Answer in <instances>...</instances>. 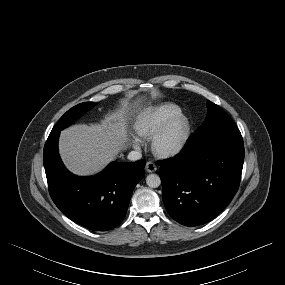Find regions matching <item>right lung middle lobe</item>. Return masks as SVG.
Returning <instances> with one entry per match:
<instances>
[{
  "label": "right lung middle lobe",
  "mask_w": 285,
  "mask_h": 285,
  "mask_svg": "<svg viewBox=\"0 0 285 285\" xmlns=\"http://www.w3.org/2000/svg\"><path fill=\"white\" fill-rule=\"evenodd\" d=\"M94 105L95 103L93 102H85L74 106L59 119V121L56 123L52 130H62L65 127H68L80 116H82L86 111L91 109Z\"/></svg>",
  "instance_id": "right-lung-middle-lobe-1"
}]
</instances>
